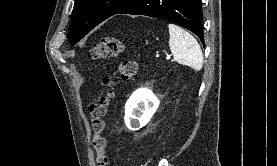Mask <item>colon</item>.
I'll return each mask as SVG.
<instances>
[{"label":"colon","instance_id":"1","mask_svg":"<svg viewBox=\"0 0 277 166\" xmlns=\"http://www.w3.org/2000/svg\"><path fill=\"white\" fill-rule=\"evenodd\" d=\"M125 51L124 42L114 36H108L98 41L88 52L91 60H102L121 55ZM138 64L134 58L123 60L115 76H106L103 89L89 107L91 130L93 133L91 146L96 152V166H107L106 140L103 136L105 129V115L111 99L114 97L118 81L133 79L137 74Z\"/></svg>","mask_w":277,"mask_h":166}]
</instances>
